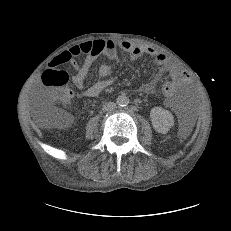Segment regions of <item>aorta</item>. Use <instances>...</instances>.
<instances>
[{"mask_svg":"<svg viewBox=\"0 0 231 231\" xmlns=\"http://www.w3.org/2000/svg\"><path fill=\"white\" fill-rule=\"evenodd\" d=\"M117 104L120 106H126L129 104V98L126 95L122 94V95L118 96Z\"/></svg>","mask_w":231,"mask_h":231,"instance_id":"aorta-1","label":"aorta"}]
</instances>
